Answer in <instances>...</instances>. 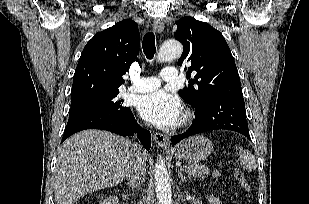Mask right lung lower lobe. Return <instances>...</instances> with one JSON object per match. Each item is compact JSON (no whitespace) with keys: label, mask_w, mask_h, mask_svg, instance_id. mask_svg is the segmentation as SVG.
<instances>
[{"label":"right lung lower lobe","mask_w":309,"mask_h":204,"mask_svg":"<svg viewBox=\"0 0 309 204\" xmlns=\"http://www.w3.org/2000/svg\"><path fill=\"white\" fill-rule=\"evenodd\" d=\"M86 129L107 130L122 136H132L138 132L137 136L141 144L147 150L151 146L150 132L142 129L137 124L131 111L124 118H118L105 113H85L69 117L62 142L70 135Z\"/></svg>","instance_id":"1"}]
</instances>
